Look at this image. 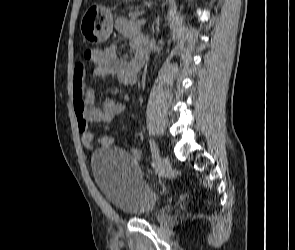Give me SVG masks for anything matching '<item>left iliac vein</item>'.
I'll return each instance as SVG.
<instances>
[{"instance_id":"obj_1","label":"left iliac vein","mask_w":295,"mask_h":250,"mask_svg":"<svg viewBox=\"0 0 295 250\" xmlns=\"http://www.w3.org/2000/svg\"><path fill=\"white\" fill-rule=\"evenodd\" d=\"M156 161L158 164V169L162 172H166L168 170V158L161 156V154L157 153Z\"/></svg>"}]
</instances>
